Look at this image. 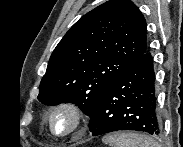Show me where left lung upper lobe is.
<instances>
[{"mask_svg": "<svg viewBox=\"0 0 183 147\" xmlns=\"http://www.w3.org/2000/svg\"><path fill=\"white\" fill-rule=\"evenodd\" d=\"M146 21L130 0L81 17L54 49L39 87L45 105L73 103L91 116L112 82L147 51Z\"/></svg>", "mask_w": 183, "mask_h": 147, "instance_id": "obj_1", "label": "left lung upper lobe"}]
</instances>
